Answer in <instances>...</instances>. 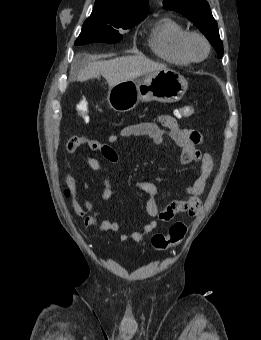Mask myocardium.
<instances>
[{"label": "myocardium", "mask_w": 261, "mask_h": 340, "mask_svg": "<svg viewBox=\"0 0 261 340\" xmlns=\"http://www.w3.org/2000/svg\"><path fill=\"white\" fill-rule=\"evenodd\" d=\"M193 37H197L199 39H201L205 46H206V52L204 54L203 57L201 58H196L193 56V54L191 53L190 49H189V41L191 38ZM181 49L183 51V53L192 61V62H200L203 61L204 59H206L211 51V45L210 42L208 40V38L200 31L197 30H190V31H186L184 33V35L181 38Z\"/></svg>", "instance_id": "myocardium-1"}]
</instances>
